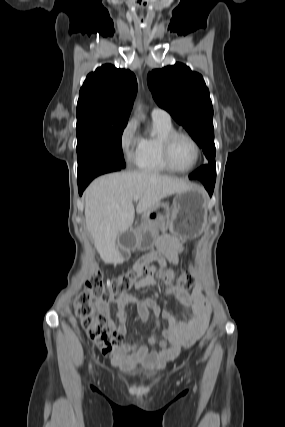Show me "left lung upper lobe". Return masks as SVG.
Segmentation results:
<instances>
[{
    "label": "left lung upper lobe",
    "mask_w": 285,
    "mask_h": 427,
    "mask_svg": "<svg viewBox=\"0 0 285 427\" xmlns=\"http://www.w3.org/2000/svg\"><path fill=\"white\" fill-rule=\"evenodd\" d=\"M148 86L157 104L167 110L215 161L213 107L203 77L182 63L153 70Z\"/></svg>",
    "instance_id": "1"
}]
</instances>
